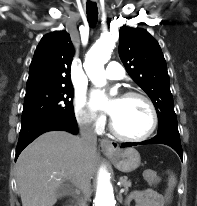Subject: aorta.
Returning a JSON list of instances; mask_svg holds the SVG:
<instances>
[{
    "label": "aorta",
    "mask_w": 197,
    "mask_h": 206,
    "mask_svg": "<svg viewBox=\"0 0 197 206\" xmlns=\"http://www.w3.org/2000/svg\"><path fill=\"white\" fill-rule=\"evenodd\" d=\"M114 48V43L109 34H104L88 51L84 69L90 80L98 87L105 85L106 77L104 64L110 59ZM116 199L113 192L112 184L105 170L100 171L96 195L93 206H115Z\"/></svg>",
    "instance_id": "aorta-1"
}]
</instances>
